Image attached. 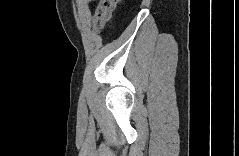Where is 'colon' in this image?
I'll return each mask as SVG.
<instances>
[{"label": "colon", "instance_id": "1", "mask_svg": "<svg viewBox=\"0 0 239 156\" xmlns=\"http://www.w3.org/2000/svg\"><path fill=\"white\" fill-rule=\"evenodd\" d=\"M118 3L116 0H101L95 10V21L98 28H103L112 19Z\"/></svg>", "mask_w": 239, "mask_h": 156}]
</instances>
